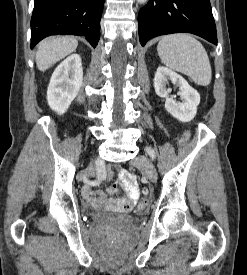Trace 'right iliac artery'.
<instances>
[{"mask_svg":"<svg viewBox=\"0 0 247 275\" xmlns=\"http://www.w3.org/2000/svg\"><path fill=\"white\" fill-rule=\"evenodd\" d=\"M95 164V169H96V180H107V168L106 164H102L103 160L102 159H97Z\"/></svg>","mask_w":247,"mask_h":275,"instance_id":"obj_1","label":"right iliac artery"}]
</instances>
